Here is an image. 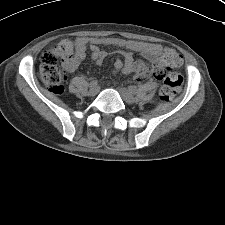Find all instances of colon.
<instances>
[{
  "label": "colon",
  "instance_id": "obj_1",
  "mask_svg": "<svg viewBox=\"0 0 225 225\" xmlns=\"http://www.w3.org/2000/svg\"><path fill=\"white\" fill-rule=\"evenodd\" d=\"M75 61L74 44L70 39H63L45 50L40 57L39 76L47 89L53 94H61L64 90L66 74L63 66ZM182 63V57L174 49H166L160 62L154 66L143 65L134 79L144 81L152 75L163 82L159 91V99L168 103L177 96L183 85V77L172 69Z\"/></svg>",
  "mask_w": 225,
  "mask_h": 225
}]
</instances>
